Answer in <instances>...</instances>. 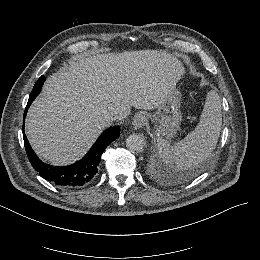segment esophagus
I'll list each match as a JSON object with an SVG mask.
<instances>
[{
    "instance_id": "34e87169",
    "label": "esophagus",
    "mask_w": 260,
    "mask_h": 260,
    "mask_svg": "<svg viewBox=\"0 0 260 260\" xmlns=\"http://www.w3.org/2000/svg\"><path fill=\"white\" fill-rule=\"evenodd\" d=\"M148 121L147 115L144 113H137L132 121V127L134 130L143 128Z\"/></svg>"
}]
</instances>
